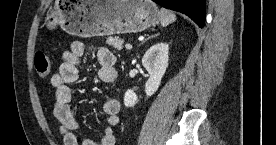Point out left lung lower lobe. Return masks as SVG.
<instances>
[{
    "label": "left lung lower lobe",
    "mask_w": 276,
    "mask_h": 145,
    "mask_svg": "<svg viewBox=\"0 0 276 145\" xmlns=\"http://www.w3.org/2000/svg\"><path fill=\"white\" fill-rule=\"evenodd\" d=\"M161 6L189 16L199 27L205 23V0H153Z\"/></svg>",
    "instance_id": "obj_1"
}]
</instances>
